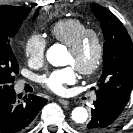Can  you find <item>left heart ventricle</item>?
Wrapping results in <instances>:
<instances>
[{
	"instance_id": "b2bd125f",
	"label": "left heart ventricle",
	"mask_w": 133,
	"mask_h": 133,
	"mask_svg": "<svg viewBox=\"0 0 133 133\" xmlns=\"http://www.w3.org/2000/svg\"><path fill=\"white\" fill-rule=\"evenodd\" d=\"M96 46L92 38H90L80 53L74 54L69 50L66 55V63L75 67H84L90 65L95 57Z\"/></svg>"
}]
</instances>
